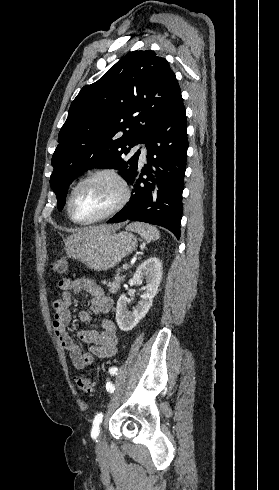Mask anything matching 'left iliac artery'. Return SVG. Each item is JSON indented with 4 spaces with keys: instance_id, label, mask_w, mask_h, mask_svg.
Returning <instances> with one entry per match:
<instances>
[{
    "instance_id": "obj_1",
    "label": "left iliac artery",
    "mask_w": 279,
    "mask_h": 490,
    "mask_svg": "<svg viewBox=\"0 0 279 490\" xmlns=\"http://www.w3.org/2000/svg\"><path fill=\"white\" fill-rule=\"evenodd\" d=\"M109 371H110L111 374H117V368H115V367H112ZM106 389L109 392H113L115 390V388L113 387V385H112L111 382H107L106 383ZM102 418H103V414L102 413H98L95 416V418H94L93 428H92V432H91V436L94 439H96V437L99 434V426H100V424L102 422Z\"/></svg>"
}]
</instances>
